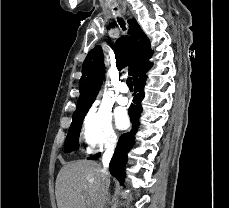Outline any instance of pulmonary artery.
<instances>
[{
    "mask_svg": "<svg viewBox=\"0 0 229 208\" xmlns=\"http://www.w3.org/2000/svg\"><path fill=\"white\" fill-rule=\"evenodd\" d=\"M120 96L118 98V101L122 105H127L130 101L129 96H128V87L125 82H122L120 85Z\"/></svg>",
    "mask_w": 229,
    "mask_h": 208,
    "instance_id": "pulmonary-artery-1",
    "label": "pulmonary artery"
}]
</instances>
